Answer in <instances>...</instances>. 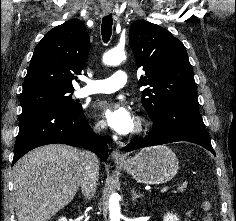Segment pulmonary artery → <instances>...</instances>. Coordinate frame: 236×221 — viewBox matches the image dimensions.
Returning <instances> with one entry per match:
<instances>
[{"label":"pulmonary artery","instance_id":"pulmonary-artery-1","mask_svg":"<svg viewBox=\"0 0 236 221\" xmlns=\"http://www.w3.org/2000/svg\"><path fill=\"white\" fill-rule=\"evenodd\" d=\"M127 80V73L123 70H118L106 79L86 80V85L78 89L76 95L85 97L91 94L112 93L121 89L126 84Z\"/></svg>","mask_w":236,"mask_h":221}]
</instances>
